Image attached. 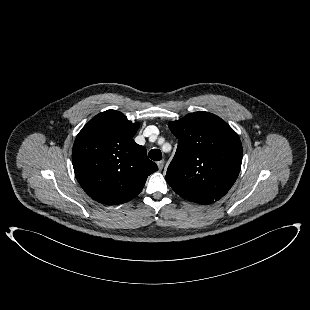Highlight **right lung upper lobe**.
<instances>
[{"label":"right lung upper lobe","mask_w":310,"mask_h":310,"mask_svg":"<svg viewBox=\"0 0 310 310\" xmlns=\"http://www.w3.org/2000/svg\"><path fill=\"white\" fill-rule=\"evenodd\" d=\"M139 123L119 111L93 117L78 133L72 152L75 176L97 202L117 205L135 198L147 177L158 170L145 147L133 140Z\"/></svg>","instance_id":"obj_1"}]
</instances>
